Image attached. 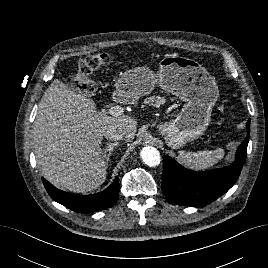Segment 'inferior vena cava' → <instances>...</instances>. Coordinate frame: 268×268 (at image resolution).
Masks as SVG:
<instances>
[{
	"instance_id": "602c4592",
	"label": "inferior vena cava",
	"mask_w": 268,
	"mask_h": 268,
	"mask_svg": "<svg viewBox=\"0 0 268 268\" xmlns=\"http://www.w3.org/2000/svg\"><path fill=\"white\" fill-rule=\"evenodd\" d=\"M125 135V131L119 127H109L104 131V137L112 141L121 140Z\"/></svg>"
}]
</instances>
